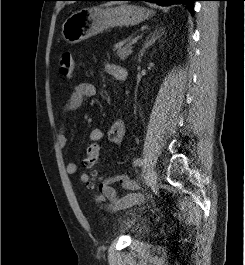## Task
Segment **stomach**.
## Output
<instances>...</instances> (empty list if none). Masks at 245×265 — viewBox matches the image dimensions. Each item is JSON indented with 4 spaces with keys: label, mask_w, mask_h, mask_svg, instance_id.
I'll list each match as a JSON object with an SVG mask.
<instances>
[{
    "label": "stomach",
    "mask_w": 245,
    "mask_h": 265,
    "mask_svg": "<svg viewBox=\"0 0 245 265\" xmlns=\"http://www.w3.org/2000/svg\"><path fill=\"white\" fill-rule=\"evenodd\" d=\"M154 11L135 5L116 7H86L72 13L62 25V37L69 44H76L110 27L137 25Z\"/></svg>",
    "instance_id": "1"
}]
</instances>
